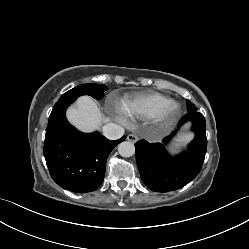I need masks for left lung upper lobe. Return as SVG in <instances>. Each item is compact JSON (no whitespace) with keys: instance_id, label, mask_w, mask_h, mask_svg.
<instances>
[{"instance_id":"5c2ea615","label":"left lung upper lobe","mask_w":249,"mask_h":249,"mask_svg":"<svg viewBox=\"0 0 249 249\" xmlns=\"http://www.w3.org/2000/svg\"><path fill=\"white\" fill-rule=\"evenodd\" d=\"M186 105H187V111H188V113L197 110V108L195 107V105L193 103H191L189 100H186Z\"/></svg>"}]
</instances>
